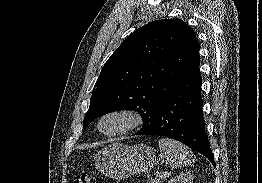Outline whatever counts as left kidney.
Listing matches in <instances>:
<instances>
[{"mask_svg": "<svg viewBox=\"0 0 262 183\" xmlns=\"http://www.w3.org/2000/svg\"><path fill=\"white\" fill-rule=\"evenodd\" d=\"M193 178V174L186 172L171 178L168 183H193Z\"/></svg>", "mask_w": 262, "mask_h": 183, "instance_id": "obj_1", "label": "left kidney"}]
</instances>
